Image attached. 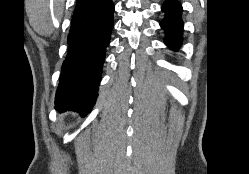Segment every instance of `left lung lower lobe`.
<instances>
[{
	"label": "left lung lower lobe",
	"instance_id": "0a47b994",
	"mask_svg": "<svg viewBox=\"0 0 249 174\" xmlns=\"http://www.w3.org/2000/svg\"><path fill=\"white\" fill-rule=\"evenodd\" d=\"M162 11L166 13L165 18L160 23L165 30V43L173 50L180 47L182 40L183 21L181 19L182 6L175 0H166L162 6Z\"/></svg>",
	"mask_w": 249,
	"mask_h": 174
}]
</instances>
